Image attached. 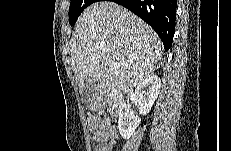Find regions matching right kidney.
Returning <instances> with one entry per match:
<instances>
[{
  "mask_svg": "<svg viewBox=\"0 0 231 151\" xmlns=\"http://www.w3.org/2000/svg\"><path fill=\"white\" fill-rule=\"evenodd\" d=\"M161 88V80L157 75H151L143 80L135 89L133 101L139 108L140 115L150 112ZM141 123V118L134 115L127 104H122L119 110L118 129L124 139H129Z\"/></svg>",
  "mask_w": 231,
  "mask_h": 151,
  "instance_id": "obj_1",
  "label": "right kidney"
}]
</instances>
